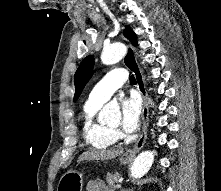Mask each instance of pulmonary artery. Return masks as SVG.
<instances>
[{
  "label": "pulmonary artery",
  "mask_w": 221,
  "mask_h": 191,
  "mask_svg": "<svg viewBox=\"0 0 221 191\" xmlns=\"http://www.w3.org/2000/svg\"><path fill=\"white\" fill-rule=\"evenodd\" d=\"M128 79L124 68H114L91 90L88 100L94 103H104Z\"/></svg>",
  "instance_id": "1"
}]
</instances>
